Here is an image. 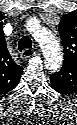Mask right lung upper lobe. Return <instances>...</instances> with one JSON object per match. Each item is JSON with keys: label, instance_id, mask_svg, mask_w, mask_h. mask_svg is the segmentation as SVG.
I'll return each mask as SVG.
<instances>
[{"label": "right lung upper lobe", "instance_id": "1", "mask_svg": "<svg viewBox=\"0 0 77 125\" xmlns=\"http://www.w3.org/2000/svg\"><path fill=\"white\" fill-rule=\"evenodd\" d=\"M0 59V77L2 80V87L3 91L7 92L15 88L21 77L23 68L12 60L8 50L6 49L5 40L4 52L2 53Z\"/></svg>", "mask_w": 77, "mask_h": 125}]
</instances>
